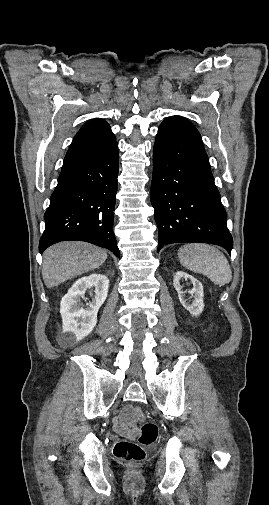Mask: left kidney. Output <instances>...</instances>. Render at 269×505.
Here are the masks:
<instances>
[{"mask_svg": "<svg viewBox=\"0 0 269 505\" xmlns=\"http://www.w3.org/2000/svg\"><path fill=\"white\" fill-rule=\"evenodd\" d=\"M181 279L189 280L193 285V288L184 292L182 290V286L180 285ZM173 285L178 292V298L183 307L189 311L192 316L200 315L204 309V291L201 282L184 271H177L174 275ZM187 292L191 294V297L193 298L192 302L186 299Z\"/></svg>", "mask_w": 269, "mask_h": 505, "instance_id": "obj_1", "label": "left kidney"}]
</instances>
